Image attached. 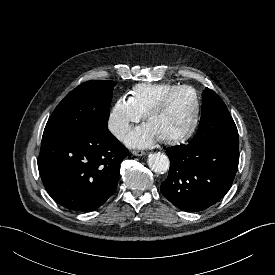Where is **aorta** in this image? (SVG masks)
Returning a JSON list of instances; mask_svg holds the SVG:
<instances>
[{
  "instance_id": "1",
  "label": "aorta",
  "mask_w": 275,
  "mask_h": 275,
  "mask_svg": "<svg viewBox=\"0 0 275 275\" xmlns=\"http://www.w3.org/2000/svg\"><path fill=\"white\" fill-rule=\"evenodd\" d=\"M168 157L160 152L152 153L148 156V166L155 173H165L169 169Z\"/></svg>"
}]
</instances>
